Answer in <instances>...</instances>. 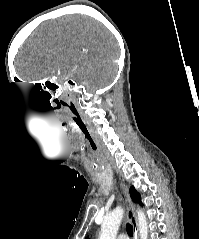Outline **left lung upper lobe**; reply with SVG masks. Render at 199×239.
I'll return each instance as SVG.
<instances>
[{"mask_svg":"<svg viewBox=\"0 0 199 239\" xmlns=\"http://www.w3.org/2000/svg\"><path fill=\"white\" fill-rule=\"evenodd\" d=\"M130 196L133 202L139 203L140 205H142L140 194L135 190L133 186L130 188Z\"/></svg>","mask_w":199,"mask_h":239,"instance_id":"5c2ea615","label":"left lung upper lobe"}]
</instances>
